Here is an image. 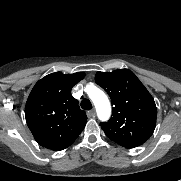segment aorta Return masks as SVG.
<instances>
[{
	"mask_svg": "<svg viewBox=\"0 0 181 181\" xmlns=\"http://www.w3.org/2000/svg\"><path fill=\"white\" fill-rule=\"evenodd\" d=\"M87 92L95 105L98 118L102 121L108 120L111 115V105L106 94L94 85H88Z\"/></svg>",
	"mask_w": 181,
	"mask_h": 181,
	"instance_id": "aorta-1",
	"label": "aorta"
}]
</instances>
